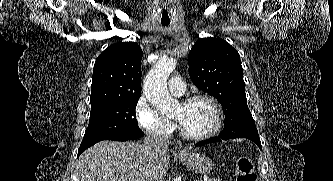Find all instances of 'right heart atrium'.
I'll return each mask as SVG.
<instances>
[{"label":"right heart atrium","instance_id":"d8ad5b80","mask_svg":"<svg viewBox=\"0 0 333 181\" xmlns=\"http://www.w3.org/2000/svg\"><path fill=\"white\" fill-rule=\"evenodd\" d=\"M134 113L139 127L151 136L166 139L175 130V125L161 116L143 97L136 102Z\"/></svg>","mask_w":333,"mask_h":181}]
</instances>
